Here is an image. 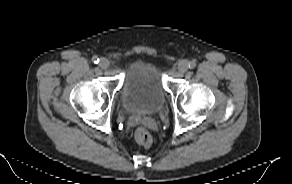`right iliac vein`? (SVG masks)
Wrapping results in <instances>:
<instances>
[{
	"instance_id": "right-iliac-vein-1",
	"label": "right iliac vein",
	"mask_w": 292,
	"mask_h": 184,
	"mask_svg": "<svg viewBox=\"0 0 292 184\" xmlns=\"http://www.w3.org/2000/svg\"><path fill=\"white\" fill-rule=\"evenodd\" d=\"M109 61H108V59H106V58H101L100 59V62H99V66L102 68V69H106V68H108L109 67Z\"/></svg>"
}]
</instances>
